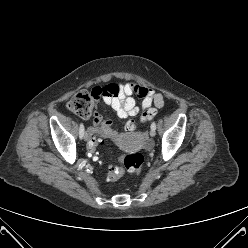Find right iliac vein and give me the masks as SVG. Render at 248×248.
Instances as JSON below:
<instances>
[{"label": "right iliac vein", "mask_w": 248, "mask_h": 248, "mask_svg": "<svg viewBox=\"0 0 248 248\" xmlns=\"http://www.w3.org/2000/svg\"><path fill=\"white\" fill-rule=\"evenodd\" d=\"M84 140L85 141H88L89 140V134H88V132H85L84 133Z\"/></svg>", "instance_id": "right-iliac-vein-1"}]
</instances>
